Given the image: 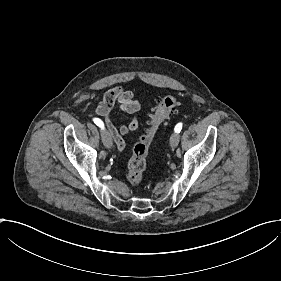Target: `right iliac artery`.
Here are the masks:
<instances>
[{
    "label": "right iliac artery",
    "instance_id": "82829eb1",
    "mask_svg": "<svg viewBox=\"0 0 281 281\" xmlns=\"http://www.w3.org/2000/svg\"><path fill=\"white\" fill-rule=\"evenodd\" d=\"M94 123L99 126L101 129H104V124L99 118H94L93 119Z\"/></svg>",
    "mask_w": 281,
    "mask_h": 281
}]
</instances>
